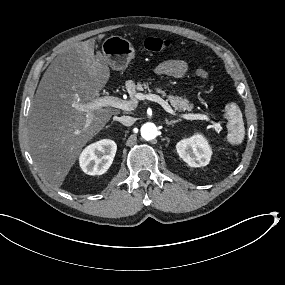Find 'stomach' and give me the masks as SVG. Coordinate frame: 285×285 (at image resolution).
I'll return each mask as SVG.
<instances>
[{"instance_id":"stomach-1","label":"stomach","mask_w":285,"mask_h":285,"mask_svg":"<svg viewBox=\"0 0 285 285\" xmlns=\"http://www.w3.org/2000/svg\"><path fill=\"white\" fill-rule=\"evenodd\" d=\"M102 52L114 69H125L135 58V48L129 40L118 35L106 38L102 43Z\"/></svg>"}]
</instances>
